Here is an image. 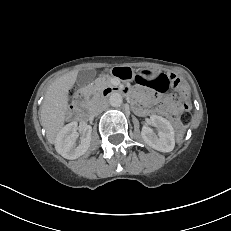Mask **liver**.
Here are the masks:
<instances>
[{"label":"liver","mask_w":231,"mask_h":231,"mask_svg":"<svg viewBox=\"0 0 231 231\" xmlns=\"http://www.w3.org/2000/svg\"><path fill=\"white\" fill-rule=\"evenodd\" d=\"M78 71H70L56 79L47 89L40 107V121L49 143L55 144L69 109V90L76 82Z\"/></svg>","instance_id":"6515ba94"}]
</instances>
